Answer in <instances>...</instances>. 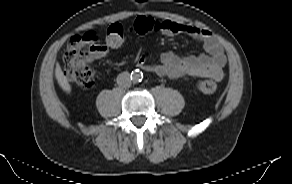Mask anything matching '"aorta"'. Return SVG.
<instances>
[{"label": "aorta", "instance_id": "obj_1", "mask_svg": "<svg viewBox=\"0 0 292 184\" xmlns=\"http://www.w3.org/2000/svg\"><path fill=\"white\" fill-rule=\"evenodd\" d=\"M142 77H143V75L140 72H133L131 74V79L133 82L141 81Z\"/></svg>", "mask_w": 292, "mask_h": 184}]
</instances>
